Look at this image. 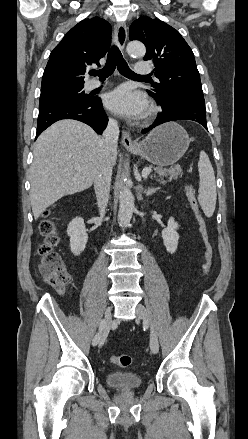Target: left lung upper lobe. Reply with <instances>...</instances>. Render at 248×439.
<instances>
[{
    "label": "left lung upper lobe",
    "instance_id": "left-lung-upper-lobe-1",
    "mask_svg": "<svg viewBox=\"0 0 248 439\" xmlns=\"http://www.w3.org/2000/svg\"><path fill=\"white\" fill-rule=\"evenodd\" d=\"M130 40H139L147 48L145 61L153 62L155 76L148 93L161 107L177 100L205 104L194 54L180 33L159 19L142 16L129 29Z\"/></svg>",
    "mask_w": 248,
    "mask_h": 439
}]
</instances>
